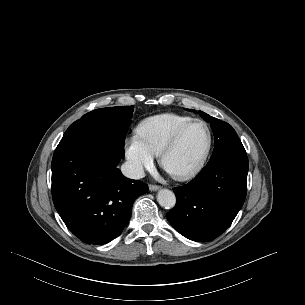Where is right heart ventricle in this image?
I'll return each mask as SVG.
<instances>
[{"instance_id":"1","label":"right heart ventricle","mask_w":305,"mask_h":305,"mask_svg":"<svg viewBox=\"0 0 305 305\" xmlns=\"http://www.w3.org/2000/svg\"><path fill=\"white\" fill-rule=\"evenodd\" d=\"M192 119L175 113L149 117L138 125L137 136L154 156H159L175 132Z\"/></svg>"}]
</instances>
